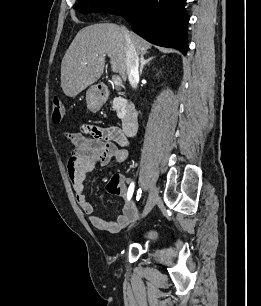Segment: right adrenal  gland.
I'll use <instances>...</instances> for the list:
<instances>
[{"instance_id": "right-adrenal-gland-1", "label": "right adrenal gland", "mask_w": 261, "mask_h": 306, "mask_svg": "<svg viewBox=\"0 0 261 306\" xmlns=\"http://www.w3.org/2000/svg\"><path fill=\"white\" fill-rule=\"evenodd\" d=\"M154 59V57H150L148 59H144V56H141L140 58V75H142L143 72V68L148 65L150 63V61H152Z\"/></svg>"}]
</instances>
